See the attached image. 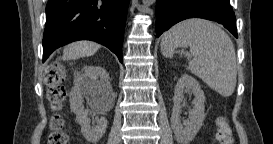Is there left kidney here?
<instances>
[{
  "label": "left kidney",
  "instance_id": "left-kidney-1",
  "mask_svg": "<svg viewBox=\"0 0 273 144\" xmlns=\"http://www.w3.org/2000/svg\"><path fill=\"white\" fill-rule=\"evenodd\" d=\"M191 91L194 94L193 108L189 111V120H180L182 104L185 103L184 92ZM174 106L171 115V127L174 135L181 144L191 141L202 126L205 119V96L200 84L190 75L183 74L177 81L173 97Z\"/></svg>",
  "mask_w": 273,
  "mask_h": 144
}]
</instances>
